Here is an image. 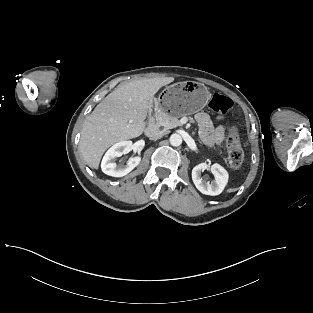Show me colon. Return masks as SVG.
Masks as SVG:
<instances>
[{"mask_svg": "<svg viewBox=\"0 0 313 313\" xmlns=\"http://www.w3.org/2000/svg\"><path fill=\"white\" fill-rule=\"evenodd\" d=\"M233 106L232 100L222 94H214L209 102V107L219 113L228 112ZM226 147L228 152V160L233 167H239L244 161V153L239 144L236 131L230 127L226 139Z\"/></svg>", "mask_w": 313, "mask_h": 313, "instance_id": "5ec220e1", "label": "colon"}]
</instances>
